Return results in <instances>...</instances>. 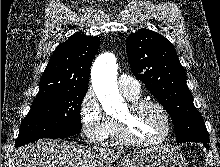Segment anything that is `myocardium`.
<instances>
[{
    "mask_svg": "<svg viewBox=\"0 0 220 167\" xmlns=\"http://www.w3.org/2000/svg\"><path fill=\"white\" fill-rule=\"evenodd\" d=\"M145 106H153L162 113L166 123L163 135L153 140H142L135 138L132 134L129 121L117 118V136L121 143L134 147H155L163 144L171 136L173 131V121L168 110L163 104L152 99H136L132 100L128 104L131 115H134Z\"/></svg>",
    "mask_w": 220,
    "mask_h": 167,
    "instance_id": "obj_1",
    "label": "myocardium"
}]
</instances>
